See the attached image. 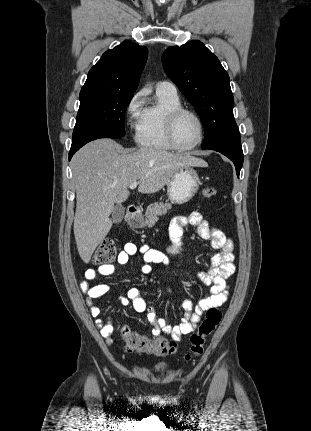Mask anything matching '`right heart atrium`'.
<instances>
[{
	"instance_id": "1",
	"label": "right heart atrium",
	"mask_w": 311,
	"mask_h": 431,
	"mask_svg": "<svg viewBox=\"0 0 311 431\" xmlns=\"http://www.w3.org/2000/svg\"><path fill=\"white\" fill-rule=\"evenodd\" d=\"M145 102V94L143 91L134 93L128 100L125 106L126 123L131 130H135L141 120L143 106Z\"/></svg>"
}]
</instances>
